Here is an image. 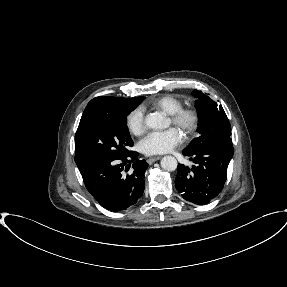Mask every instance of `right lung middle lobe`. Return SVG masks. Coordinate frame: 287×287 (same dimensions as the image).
Masks as SVG:
<instances>
[{
	"mask_svg": "<svg viewBox=\"0 0 287 287\" xmlns=\"http://www.w3.org/2000/svg\"><path fill=\"white\" fill-rule=\"evenodd\" d=\"M142 100L139 97L103 112L82 131L75 143V162L80 172L97 161L126 157L132 152L127 115Z\"/></svg>",
	"mask_w": 287,
	"mask_h": 287,
	"instance_id": "right-lung-middle-lobe-1",
	"label": "right lung middle lobe"
}]
</instances>
